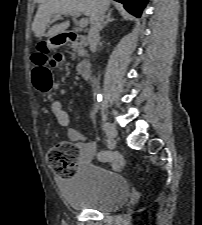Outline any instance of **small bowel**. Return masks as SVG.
I'll list each match as a JSON object with an SVG mask.
<instances>
[{
	"instance_id": "c3829d8e",
	"label": "small bowel",
	"mask_w": 202,
	"mask_h": 225,
	"mask_svg": "<svg viewBox=\"0 0 202 225\" xmlns=\"http://www.w3.org/2000/svg\"><path fill=\"white\" fill-rule=\"evenodd\" d=\"M31 62L35 64V56H31ZM64 91V89H61L59 94H63ZM50 109L55 116L57 123L60 126L68 129L70 139L78 145L80 164L89 163L95 157L97 160L105 162L104 155L96 153L95 143L92 140L87 139L82 133L70 125V116L68 112L63 109L59 97H56L51 101Z\"/></svg>"
}]
</instances>
